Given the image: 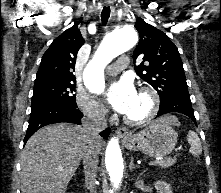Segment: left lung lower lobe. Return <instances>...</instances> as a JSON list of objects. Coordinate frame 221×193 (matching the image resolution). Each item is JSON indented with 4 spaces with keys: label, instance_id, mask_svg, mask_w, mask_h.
<instances>
[{
    "label": "left lung lower lobe",
    "instance_id": "left-lung-lower-lobe-1",
    "mask_svg": "<svg viewBox=\"0 0 221 193\" xmlns=\"http://www.w3.org/2000/svg\"><path fill=\"white\" fill-rule=\"evenodd\" d=\"M170 112H178L187 115L196 124L189 94L175 95L173 98H170L166 102L160 104L157 117Z\"/></svg>",
    "mask_w": 221,
    "mask_h": 193
}]
</instances>
